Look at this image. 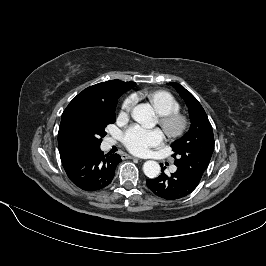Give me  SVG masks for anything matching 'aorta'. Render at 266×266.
I'll list each match as a JSON object with an SVG mask.
<instances>
[{
    "label": "aorta",
    "mask_w": 266,
    "mask_h": 266,
    "mask_svg": "<svg viewBox=\"0 0 266 266\" xmlns=\"http://www.w3.org/2000/svg\"><path fill=\"white\" fill-rule=\"evenodd\" d=\"M132 117L138 123L151 128L156 124L155 112L149 104H139L132 110ZM144 174L149 178H156L161 171L158 162L149 160L143 165Z\"/></svg>",
    "instance_id": "aorta-1"
}]
</instances>
